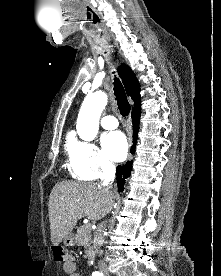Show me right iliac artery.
I'll list each match as a JSON object with an SVG mask.
<instances>
[{"label": "right iliac artery", "mask_w": 221, "mask_h": 276, "mask_svg": "<svg viewBox=\"0 0 221 276\" xmlns=\"http://www.w3.org/2000/svg\"><path fill=\"white\" fill-rule=\"evenodd\" d=\"M92 276H103V273H100V272H93Z\"/></svg>", "instance_id": "82829eb1"}]
</instances>
